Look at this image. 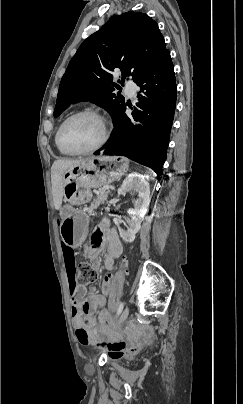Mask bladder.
I'll use <instances>...</instances> for the list:
<instances>
[{"instance_id": "bladder-1", "label": "bladder", "mask_w": 243, "mask_h": 404, "mask_svg": "<svg viewBox=\"0 0 243 404\" xmlns=\"http://www.w3.org/2000/svg\"><path fill=\"white\" fill-rule=\"evenodd\" d=\"M113 361H117V359H113Z\"/></svg>"}]
</instances>
